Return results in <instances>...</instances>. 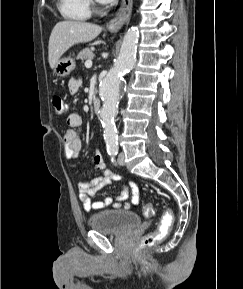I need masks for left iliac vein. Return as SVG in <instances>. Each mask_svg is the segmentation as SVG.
<instances>
[{"mask_svg": "<svg viewBox=\"0 0 243 289\" xmlns=\"http://www.w3.org/2000/svg\"><path fill=\"white\" fill-rule=\"evenodd\" d=\"M118 163L119 165H124L125 164V155L124 153H120L119 156H118Z\"/></svg>", "mask_w": 243, "mask_h": 289, "instance_id": "left-iliac-vein-1", "label": "left iliac vein"}]
</instances>
